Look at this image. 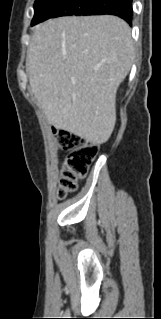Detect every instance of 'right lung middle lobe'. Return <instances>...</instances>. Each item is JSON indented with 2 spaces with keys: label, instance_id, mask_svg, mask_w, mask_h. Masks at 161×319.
<instances>
[{
  "label": "right lung middle lobe",
  "instance_id": "dd1d6c3e",
  "mask_svg": "<svg viewBox=\"0 0 161 319\" xmlns=\"http://www.w3.org/2000/svg\"><path fill=\"white\" fill-rule=\"evenodd\" d=\"M92 0H36L31 25L59 16L76 15L83 12Z\"/></svg>",
  "mask_w": 161,
  "mask_h": 319
}]
</instances>
